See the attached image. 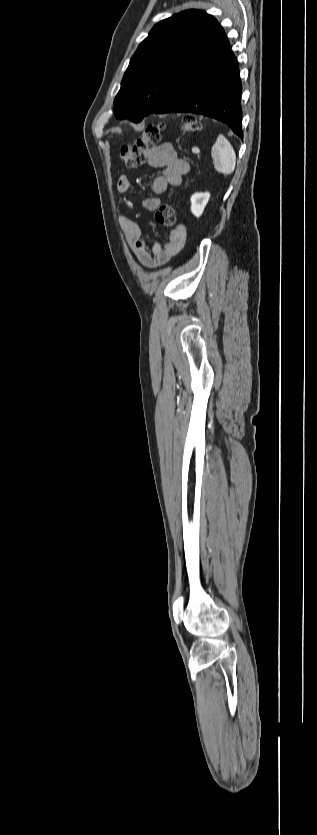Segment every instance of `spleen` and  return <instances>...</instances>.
<instances>
[{"mask_svg": "<svg viewBox=\"0 0 317 835\" xmlns=\"http://www.w3.org/2000/svg\"><path fill=\"white\" fill-rule=\"evenodd\" d=\"M214 168L218 173L230 175L236 166L235 151L227 138L219 134L211 149Z\"/></svg>", "mask_w": 317, "mask_h": 835, "instance_id": "obj_1", "label": "spleen"}]
</instances>
